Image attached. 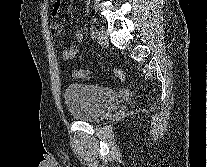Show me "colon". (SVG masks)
Instances as JSON below:
<instances>
[{
    "instance_id": "obj_1",
    "label": "colon",
    "mask_w": 207,
    "mask_h": 167,
    "mask_svg": "<svg viewBox=\"0 0 207 167\" xmlns=\"http://www.w3.org/2000/svg\"><path fill=\"white\" fill-rule=\"evenodd\" d=\"M112 75L116 82H122L124 80V73L119 69H113ZM73 76L80 79H89L93 74L88 70H76L73 72Z\"/></svg>"
}]
</instances>
